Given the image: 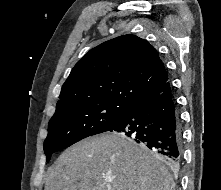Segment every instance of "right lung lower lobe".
Instances as JSON below:
<instances>
[{"instance_id":"right-lung-lower-lobe-1","label":"right lung lower lobe","mask_w":221,"mask_h":190,"mask_svg":"<svg viewBox=\"0 0 221 190\" xmlns=\"http://www.w3.org/2000/svg\"><path fill=\"white\" fill-rule=\"evenodd\" d=\"M109 131L134 139L170 166H177L182 158V130L170 81L133 101Z\"/></svg>"}]
</instances>
